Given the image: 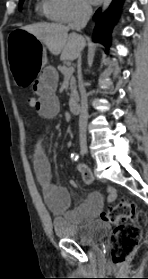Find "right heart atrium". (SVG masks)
Segmentation results:
<instances>
[{
  "label": "right heart atrium",
  "mask_w": 148,
  "mask_h": 279,
  "mask_svg": "<svg viewBox=\"0 0 148 279\" xmlns=\"http://www.w3.org/2000/svg\"><path fill=\"white\" fill-rule=\"evenodd\" d=\"M49 16L61 23H72L88 15L90 8L83 0H47Z\"/></svg>",
  "instance_id": "1"
}]
</instances>
